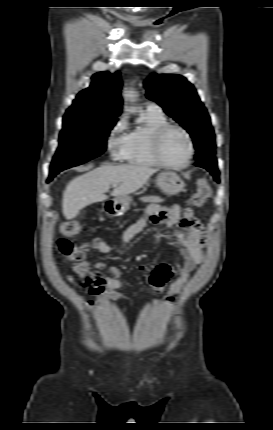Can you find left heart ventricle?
<instances>
[{
  "instance_id": "left-heart-ventricle-1",
  "label": "left heart ventricle",
  "mask_w": 273,
  "mask_h": 430,
  "mask_svg": "<svg viewBox=\"0 0 273 430\" xmlns=\"http://www.w3.org/2000/svg\"><path fill=\"white\" fill-rule=\"evenodd\" d=\"M161 155L167 163H183L188 155V143L185 136L178 130L166 132L161 143Z\"/></svg>"
}]
</instances>
